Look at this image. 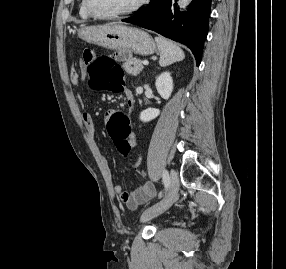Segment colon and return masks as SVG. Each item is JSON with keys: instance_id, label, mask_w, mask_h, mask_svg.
<instances>
[{"instance_id": "5ec220e1", "label": "colon", "mask_w": 286, "mask_h": 269, "mask_svg": "<svg viewBox=\"0 0 286 269\" xmlns=\"http://www.w3.org/2000/svg\"><path fill=\"white\" fill-rule=\"evenodd\" d=\"M115 53L109 52V57H96L92 50L84 51L86 70L92 86L113 92H119L122 89L123 70L115 62H130L133 49H116ZM107 124L113 144L121 155L127 157L132 149L128 130V126L132 125V116L129 115V111H114Z\"/></svg>"}]
</instances>
